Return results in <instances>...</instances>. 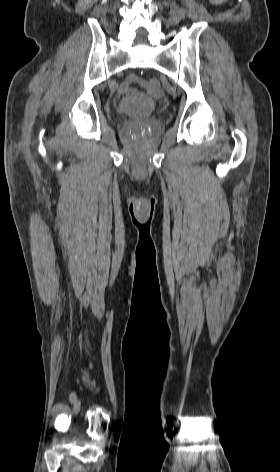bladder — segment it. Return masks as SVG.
Masks as SVG:
<instances>
[{"instance_id":"bladder-1","label":"bladder","mask_w":280,"mask_h":472,"mask_svg":"<svg viewBox=\"0 0 280 472\" xmlns=\"http://www.w3.org/2000/svg\"><path fill=\"white\" fill-rule=\"evenodd\" d=\"M158 110V104L152 97L133 94L123 97L118 103V111L133 117H145Z\"/></svg>"}]
</instances>
